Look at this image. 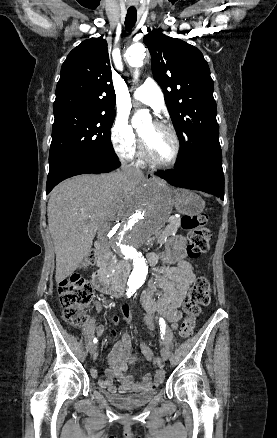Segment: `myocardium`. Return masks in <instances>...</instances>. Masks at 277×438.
Returning a JSON list of instances; mask_svg holds the SVG:
<instances>
[{"label": "myocardium", "instance_id": "1", "mask_svg": "<svg viewBox=\"0 0 277 438\" xmlns=\"http://www.w3.org/2000/svg\"><path fill=\"white\" fill-rule=\"evenodd\" d=\"M153 124L165 131L167 134H169L173 141H174V154L173 157L171 158V160H169L168 162H162L157 160L151 153L146 141L139 136V141H140V148H141V153L142 156L144 157V159L149 162L150 164H152L153 166H157V167H161V168H168V167H172L173 165L176 164V162L179 159L180 156V152H181V142H180V138L178 136V134L176 133V131L171 128L170 126L164 124L163 122L160 121H154Z\"/></svg>", "mask_w": 277, "mask_h": 438}]
</instances>
